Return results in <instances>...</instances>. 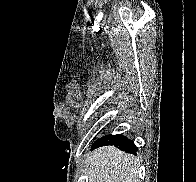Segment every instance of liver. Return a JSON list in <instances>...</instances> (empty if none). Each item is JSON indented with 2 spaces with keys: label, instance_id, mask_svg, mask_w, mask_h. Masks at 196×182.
<instances>
[{
  "label": "liver",
  "instance_id": "liver-1",
  "mask_svg": "<svg viewBox=\"0 0 196 182\" xmlns=\"http://www.w3.org/2000/svg\"><path fill=\"white\" fill-rule=\"evenodd\" d=\"M87 182H139L137 159L116 147H100L86 160Z\"/></svg>",
  "mask_w": 196,
  "mask_h": 182
}]
</instances>
